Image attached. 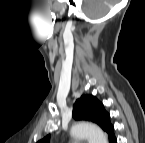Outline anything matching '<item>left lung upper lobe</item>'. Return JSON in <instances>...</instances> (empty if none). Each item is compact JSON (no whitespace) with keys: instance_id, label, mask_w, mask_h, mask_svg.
<instances>
[{"instance_id":"1","label":"left lung upper lobe","mask_w":145,"mask_h":143,"mask_svg":"<svg viewBox=\"0 0 145 143\" xmlns=\"http://www.w3.org/2000/svg\"><path fill=\"white\" fill-rule=\"evenodd\" d=\"M73 118L76 120L92 121L98 124L109 136L114 135V128L110 123V115L105 111L103 104L92 95L81 96L74 104ZM50 136H46L40 143H48Z\"/></svg>"}]
</instances>
